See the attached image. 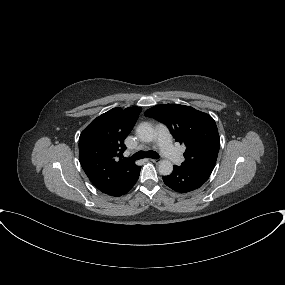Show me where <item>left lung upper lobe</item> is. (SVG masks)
Wrapping results in <instances>:
<instances>
[{"label":"left lung upper lobe","mask_w":285,"mask_h":285,"mask_svg":"<svg viewBox=\"0 0 285 285\" xmlns=\"http://www.w3.org/2000/svg\"><path fill=\"white\" fill-rule=\"evenodd\" d=\"M164 123L175 140L186 146L182 167L214 168L220 148V138L214 119L190 106L157 105L145 113Z\"/></svg>","instance_id":"5c2ea615"}]
</instances>
